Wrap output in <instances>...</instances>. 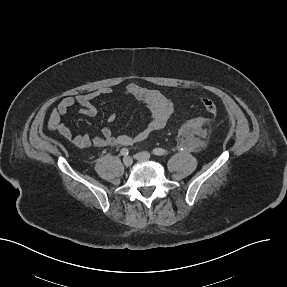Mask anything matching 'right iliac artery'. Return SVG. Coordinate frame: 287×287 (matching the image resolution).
<instances>
[{
    "label": "right iliac artery",
    "mask_w": 287,
    "mask_h": 287,
    "mask_svg": "<svg viewBox=\"0 0 287 287\" xmlns=\"http://www.w3.org/2000/svg\"><path fill=\"white\" fill-rule=\"evenodd\" d=\"M129 154V150L127 148L121 149V155L127 156Z\"/></svg>",
    "instance_id": "82829eb1"
}]
</instances>
